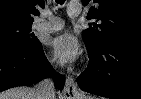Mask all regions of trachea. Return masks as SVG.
Instances as JSON below:
<instances>
[{
	"mask_svg": "<svg viewBox=\"0 0 141 99\" xmlns=\"http://www.w3.org/2000/svg\"><path fill=\"white\" fill-rule=\"evenodd\" d=\"M56 2L60 5L64 4L65 0H56Z\"/></svg>",
	"mask_w": 141,
	"mask_h": 99,
	"instance_id": "1",
	"label": "trachea"
}]
</instances>
